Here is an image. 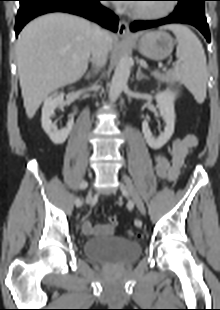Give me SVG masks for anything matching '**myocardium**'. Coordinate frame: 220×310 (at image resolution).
I'll use <instances>...</instances> for the list:
<instances>
[{
  "mask_svg": "<svg viewBox=\"0 0 220 310\" xmlns=\"http://www.w3.org/2000/svg\"><path fill=\"white\" fill-rule=\"evenodd\" d=\"M174 10V6L170 3H165L159 6L156 11H150L147 9L137 8L134 9L131 13L134 17L140 19H160L169 15Z\"/></svg>",
  "mask_w": 220,
  "mask_h": 310,
  "instance_id": "myocardium-1",
  "label": "myocardium"
}]
</instances>
